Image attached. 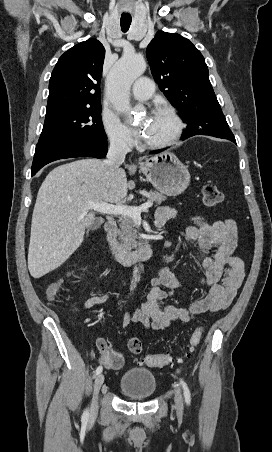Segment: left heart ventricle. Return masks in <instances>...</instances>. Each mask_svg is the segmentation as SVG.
<instances>
[{
	"label": "left heart ventricle",
	"mask_w": 272,
	"mask_h": 452,
	"mask_svg": "<svg viewBox=\"0 0 272 452\" xmlns=\"http://www.w3.org/2000/svg\"><path fill=\"white\" fill-rule=\"evenodd\" d=\"M173 130V122L163 113H154L145 122L144 140L158 142L166 139Z\"/></svg>",
	"instance_id": "left-heart-ventricle-1"
}]
</instances>
